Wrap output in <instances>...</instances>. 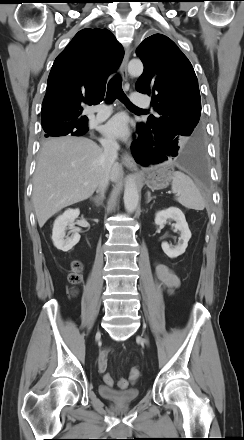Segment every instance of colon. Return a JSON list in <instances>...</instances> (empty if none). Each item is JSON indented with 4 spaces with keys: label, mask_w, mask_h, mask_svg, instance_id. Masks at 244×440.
<instances>
[{
    "label": "colon",
    "mask_w": 244,
    "mask_h": 440,
    "mask_svg": "<svg viewBox=\"0 0 244 440\" xmlns=\"http://www.w3.org/2000/svg\"><path fill=\"white\" fill-rule=\"evenodd\" d=\"M82 270H83V266L79 261H74L71 265V272L68 276V280L71 284L76 285L78 283H80L81 278H82ZM139 378V371L137 368H133L131 370L130 373V380L132 382H136ZM104 382L106 383V385L108 386H113L115 385V381L114 378L112 377V375L110 373H106L104 375ZM128 380L125 378H120L117 380L116 385L119 389H126L128 387Z\"/></svg>",
    "instance_id": "5ec220e1"
}]
</instances>
